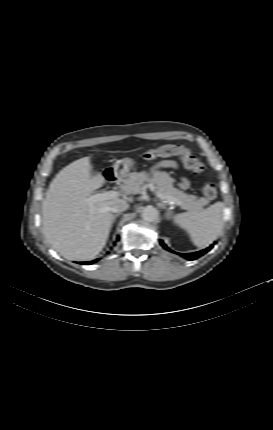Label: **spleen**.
Instances as JSON below:
<instances>
[{
  "label": "spleen",
  "mask_w": 273,
  "mask_h": 430,
  "mask_svg": "<svg viewBox=\"0 0 273 430\" xmlns=\"http://www.w3.org/2000/svg\"><path fill=\"white\" fill-rule=\"evenodd\" d=\"M224 203L216 202L202 212L188 211L173 216L174 223L184 229L195 246L205 248L223 228Z\"/></svg>",
  "instance_id": "3e777b00"
}]
</instances>
